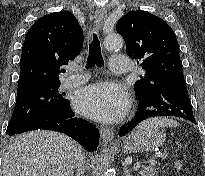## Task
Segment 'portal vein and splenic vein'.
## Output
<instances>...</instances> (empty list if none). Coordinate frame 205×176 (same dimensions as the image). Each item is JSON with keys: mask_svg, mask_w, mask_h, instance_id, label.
Listing matches in <instances>:
<instances>
[{"mask_svg": "<svg viewBox=\"0 0 205 176\" xmlns=\"http://www.w3.org/2000/svg\"><path fill=\"white\" fill-rule=\"evenodd\" d=\"M140 166H141V163H140V162L135 163V165H134V170H135V171H138L139 168H140Z\"/></svg>", "mask_w": 205, "mask_h": 176, "instance_id": "obj_1", "label": "portal vein and splenic vein"}]
</instances>
